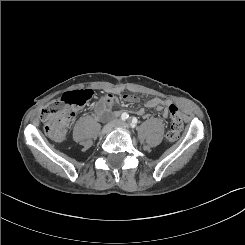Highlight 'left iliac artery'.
I'll use <instances>...</instances> for the list:
<instances>
[{"instance_id": "obj_1", "label": "left iliac artery", "mask_w": 245, "mask_h": 245, "mask_svg": "<svg viewBox=\"0 0 245 245\" xmlns=\"http://www.w3.org/2000/svg\"><path fill=\"white\" fill-rule=\"evenodd\" d=\"M137 118L136 117H133L131 120H130V126L131 128H135L137 126Z\"/></svg>"}]
</instances>
